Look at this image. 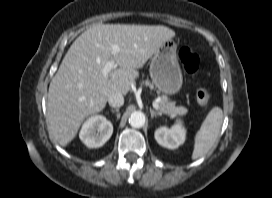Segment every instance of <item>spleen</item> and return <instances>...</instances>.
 Instances as JSON below:
<instances>
[{"label": "spleen", "instance_id": "3e777b00", "mask_svg": "<svg viewBox=\"0 0 272 198\" xmlns=\"http://www.w3.org/2000/svg\"><path fill=\"white\" fill-rule=\"evenodd\" d=\"M223 122V111L214 107L207 114L199 131L196 133L192 159L196 160L208 153L215 144Z\"/></svg>", "mask_w": 272, "mask_h": 198}]
</instances>
